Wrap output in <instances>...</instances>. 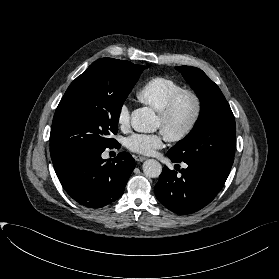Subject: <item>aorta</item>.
Masks as SVG:
<instances>
[{
  "instance_id": "762f6f07",
  "label": "aorta",
  "mask_w": 279,
  "mask_h": 279,
  "mask_svg": "<svg viewBox=\"0 0 279 279\" xmlns=\"http://www.w3.org/2000/svg\"><path fill=\"white\" fill-rule=\"evenodd\" d=\"M131 126L137 132L151 133L158 128V119L154 111L148 107L135 109L131 114ZM143 172L147 177H159L162 172L161 164L154 159L143 163Z\"/></svg>"
}]
</instances>
